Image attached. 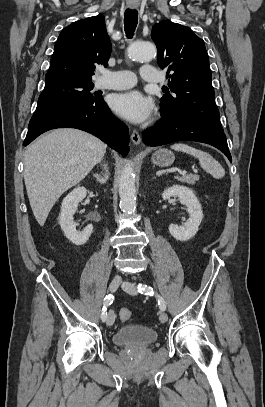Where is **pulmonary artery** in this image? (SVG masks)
I'll list each match as a JSON object with an SVG mask.
<instances>
[{
    "label": "pulmonary artery",
    "mask_w": 265,
    "mask_h": 407,
    "mask_svg": "<svg viewBox=\"0 0 265 407\" xmlns=\"http://www.w3.org/2000/svg\"><path fill=\"white\" fill-rule=\"evenodd\" d=\"M141 78L144 81L159 83L160 73L152 65H144L140 70ZM136 84V76L128 70H102L101 77L96 82V87L100 89L124 90Z\"/></svg>",
    "instance_id": "e3ab8cb5"
}]
</instances>
